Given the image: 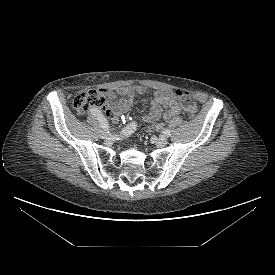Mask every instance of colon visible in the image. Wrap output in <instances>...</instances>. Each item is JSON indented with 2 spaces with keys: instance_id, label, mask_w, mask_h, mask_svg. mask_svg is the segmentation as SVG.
Wrapping results in <instances>:
<instances>
[{
  "instance_id": "colon-1",
  "label": "colon",
  "mask_w": 275,
  "mask_h": 275,
  "mask_svg": "<svg viewBox=\"0 0 275 275\" xmlns=\"http://www.w3.org/2000/svg\"><path fill=\"white\" fill-rule=\"evenodd\" d=\"M174 95L180 102L188 119H194L197 114V104L194 97L185 91H177ZM106 105L107 101L105 96L98 90L81 92L73 99V107L81 114H84L90 108L104 110Z\"/></svg>"
}]
</instances>
